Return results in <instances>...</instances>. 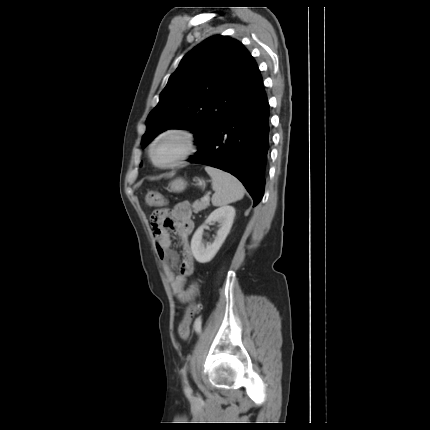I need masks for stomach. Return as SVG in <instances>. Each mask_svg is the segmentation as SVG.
<instances>
[{"label": "stomach", "mask_w": 430, "mask_h": 430, "mask_svg": "<svg viewBox=\"0 0 430 430\" xmlns=\"http://www.w3.org/2000/svg\"><path fill=\"white\" fill-rule=\"evenodd\" d=\"M197 185L201 187H205V182L198 179ZM169 187L171 192L179 193L186 189L187 182L184 179L178 177L170 182Z\"/></svg>", "instance_id": "1"}]
</instances>
